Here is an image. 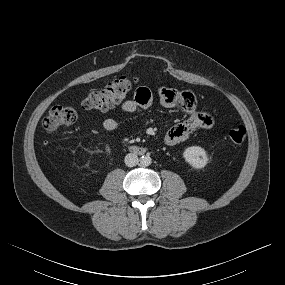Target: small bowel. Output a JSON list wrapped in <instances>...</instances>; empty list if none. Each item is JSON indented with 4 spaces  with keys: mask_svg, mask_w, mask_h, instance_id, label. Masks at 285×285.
<instances>
[{
    "mask_svg": "<svg viewBox=\"0 0 285 285\" xmlns=\"http://www.w3.org/2000/svg\"><path fill=\"white\" fill-rule=\"evenodd\" d=\"M161 102L167 106H181L189 117L171 127L165 135V143L167 145H175L185 141L193 132L199 129H211L215 120L214 117L206 112L196 110V98L191 91H179L171 88H161ZM153 103V94L146 86L139 87L133 99H128L122 102L121 110L125 113L132 114L138 109H148ZM102 126L106 131H114L118 128L119 122L113 118H107L102 122Z\"/></svg>",
    "mask_w": 285,
    "mask_h": 285,
    "instance_id": "obj_1",
    "label": "small bowel"
}]
</instances>
